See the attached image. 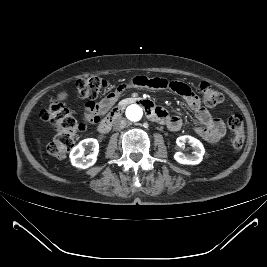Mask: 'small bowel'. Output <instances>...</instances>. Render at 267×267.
I'll use <instances>...</instances> for the list:
<instances>
[{"label": "small bowel", "mask_w": 267, "mask_h": 267, "mask_svg": "<svg viewBox=\"0 0 267 267\" xmlns=\"http://www.w3.org/2000/svg\"><path fill=\"white\" fill-rule=\"evenodd\" d=\"M131 87H144L153 90L171 91L184 99L190 109L194 111L197 127L195 132L204 140L216 143L220 141L225 133L226 127L223 121L213 117L208 109L201 105L200 98L186 83L171 81L164 78L145 76H135L131 80L121 83L115 90L105 96L98 104L87 103L85 105V115L87 119L96 121L99 114H104L118 100L121 93ZM61 98H66L67 93L61 92ZM162 122L170 130L178 131L183 126V120L179 116H170L164 109L159 108Z\"/></svg>", "instance_id": "obj_1"}]
</instances>
